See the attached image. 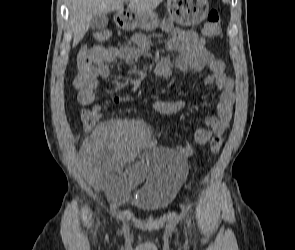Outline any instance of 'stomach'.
I'll return each instance as SVG.
<instances>
[{
    "label": "stomach",
    "instance_id": "obj_1",
    "mask_svg": "<svg viewBox=\"0 0 295 250\" xmlns=\"http://www.w3.org/2000/svg\"><path fill=\"white\" fill-rule=\"evenodd\" d=\"M169 17L180 25H196L203 21L209 11L208 0H167ZM118 25L124 30L142 28L147 31L158 27L159 18L154 11L119 13Z\"/></svg>",
    "mask_w": 295,
    "mask_h": 250
}]
</instances>
